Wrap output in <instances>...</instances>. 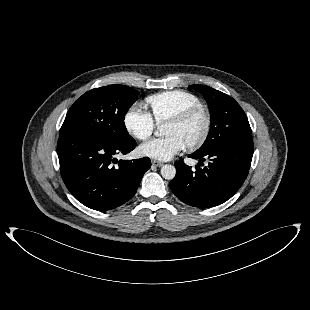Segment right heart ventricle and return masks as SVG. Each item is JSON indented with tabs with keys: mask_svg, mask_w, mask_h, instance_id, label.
<instances>
[{
	"mask_svg": "<svg viewBox=\"0 0 310 310\" xmlns=\"http://www.w3.org/2000/svg\"><path fill=\"white\" fill-rule=\"evenodd\" d=\"M145 104L152 119L157 124H162L185 109L202 105V102L193 93L184 90H168L146 97Z\"/></svg>",
	"mask_w": 310,
	"mask_h": 310,
	"instance_id": "e07e8e85",
	"label": "right heart ventricle"
}]
</instances>
